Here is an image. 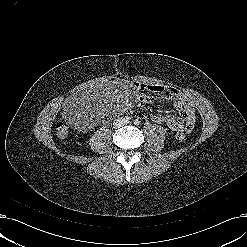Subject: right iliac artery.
<instances>
[{"label": "right iliac artery", "instance_id": "1", "mask_svg": "<svg viewBox=\"0 0 247 247\" xmlns=\"http://www.w3.org/2000/svg\"><path fill=\"white\" fill-rule=\"evenodd\" d=\"M131 118L130 117H126V120H130Z\"/></svg>", "mask_w": 247, "mask_h": 247}]
</instances>
